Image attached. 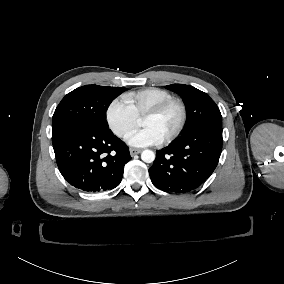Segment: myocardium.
<instances>
[{"instance_id":"1","label":"myocardium","mask_w":284,"mask_h":284,"mask_svg":"<svg viewBox=\"0 0 284 284\" xmlns=\"http://www.w3.org/2000/svg\"><path fill=\"white\" fill-rule=\"evenodd\" d=\"M172 107H177L179 110L178 122L173 131L166 138L161 140V144H168L172 142L182 131L187 118V110L184 102L180 99L172 98L157 105L156 107L148 110L143 114V117H157L162 115Z\"/></svg>"}]
</instances>
